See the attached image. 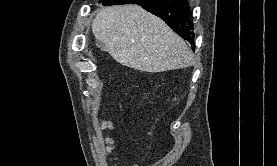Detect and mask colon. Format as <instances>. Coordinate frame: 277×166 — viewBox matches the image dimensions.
Instances as JSON below:
<instances>
[{
	"instance_id": "5ec220e1",
	"label": "colon",
	"mask_w": 277,
	"mask_h": 166,
	"mask_svg": "<svg viewBox=\"0 0 277 166\" xmlns=\"http://www.w3.org/2000/svg\"><path fill=\"white\" fill-rule=\"evenodd\" d=\"M102 128L104 130H109L111 129V122L109 120H103L102 121ZM106 143L108 145V148L110 149L111 148V144H112V139L110 137H107L106 138Z\"/></svg>"
}]
</instances>
